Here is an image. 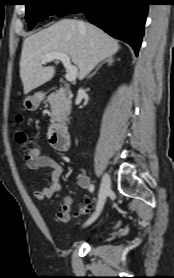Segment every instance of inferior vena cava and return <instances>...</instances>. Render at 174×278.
Masks as SVG:
<instances>
[{
  "mask_svg": "<svg viewBox=\"0 0 174 278\" xmlns=\"http://www.w3.org/2000/svg\"><path fill=\"white\" fill-rule=\"evenodd\" d=\"M80 26H84V23H83V22H80Z\"/></svg>",
  "mask_w": 174,
  "mask_h": 278,
  "instance_id": "obj_1",
  "label": "inferior vena cava"
}]
</instances>
